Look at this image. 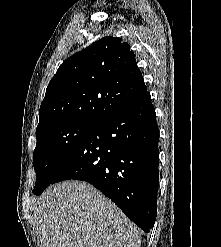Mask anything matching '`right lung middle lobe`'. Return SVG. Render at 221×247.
I'll use <instances>...</instances> for the list:
<instances>
[{"instance_id":"dd1d6c3e","label":"right lung middle lobe","mask_w":221,"mask_h":247,"mask_svg":"<svg viewBox=\"0 0 221 247\" xmlns=\"http://www.w3.org/2000/svg\"><path fill=\"white\" fill-rule=\"evenodd\" d=\"M96 126L95 123L71 122L36 134L37 144L33 153L35 195H40L51 184L66 160Z\"/></svg>"}]
</instances>
